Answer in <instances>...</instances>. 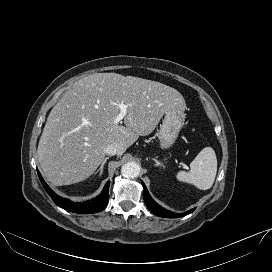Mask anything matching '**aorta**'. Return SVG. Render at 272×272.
<instances>
[{
  "mask_svg": "<svg viewBox=\"0 0 272 272\" xmlns=\"http://www.w3.org/2000/svg\"><path fill=\"white\" fill-rule=\"evenodd\" d=\"M121 173L126 178H135L140 173V166L136 162H127L122 166Z\"/></svg>",
  "mask_w": 272,
  "mask_h": 272,
  "instance_id": "1",
  "label": "aorta"
}]
</instances>
